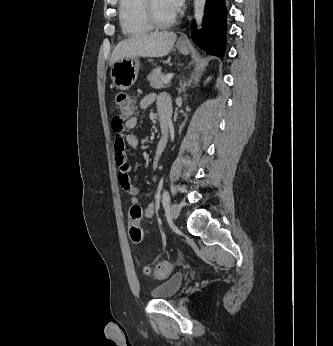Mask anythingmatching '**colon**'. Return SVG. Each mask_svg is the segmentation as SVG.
<instances>
[{
    "label": "colon",
    "instance_id": "5ec220e1",
    "mask_svg": "<svg viewBox=\"0 0 333 346\" xmlns=\"http://www.w3.org/2000/svg\"><path fill=\"white\" fill-rule=\"evenodd\" d=\"M116 106L118 110V118L123 119L130 118L135 112L134 100L126 93H118L116 95ZM142 216L141 207L136 205L131 207L129 211V217L131 226L129 228V236L133 243L139 244L143 239V232L138 221ZM173 269V265L170 261H160L154 266L145 267V273L152 275L157 279L167 277Z\"/></svg>",
    "mask_w": 333,
    "mask_h": 346
}]
</instances>
